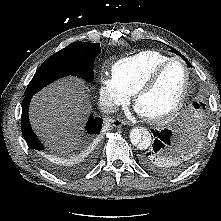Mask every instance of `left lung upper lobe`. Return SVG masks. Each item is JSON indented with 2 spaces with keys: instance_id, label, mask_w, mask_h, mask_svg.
Wrapping results in <instances>:
<instances>
[{
  "instance_id": "obj_1",
  "label": "left lung upper lobe",
  "mask_w": 221,
  "mask_h": 221,
  "mask_svg": "<svg viewBox=\"0 0 221 221\" xmlns=\"http://www.w3.org/2000/svg\"><path fill=\"white\" fill-rule=\"evenodd\" d=\"M193 106H194L195 108H200V105H199L198 103H196V102L193 103Z\"/></svg>"
}]
</instances>
